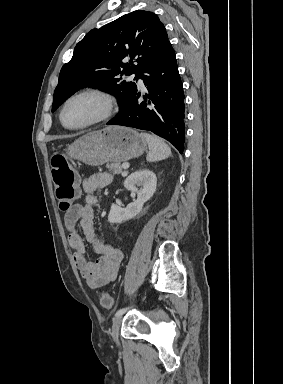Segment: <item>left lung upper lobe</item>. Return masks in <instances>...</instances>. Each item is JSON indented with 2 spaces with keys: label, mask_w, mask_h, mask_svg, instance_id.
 <instances>
[{
  "label": "left lung upper lobe",
  "mask_w": 283,
  "mask_h": 384,
  "mask_svg": "<svg viewBox=\"0 0 283 384\" xmlns=\"http://www.w3.org/2000/svg\"><path fill=\"white\" fill-rule=\"evenodd\" d=\"M168 42L158 16L144 10L92 29L76 45L72 59L60 71L52 111L77 90L94 87L115 95L121 113L137 86L134 82H121L119 76L135 73L137 79Z\"/></svg>",
  "instance_id": "left-lung-upper-lobe-1"
}]
</instances>
